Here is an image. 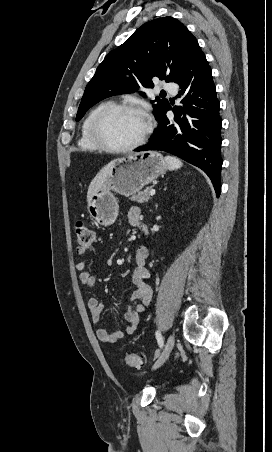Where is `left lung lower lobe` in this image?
Instances as JSON below:
<instances>
[{
  "label": "left lung lower lobe",
  "mask_w": 272,
  "mask_h": 452,
  "mask_svg": "<svg viewBox=\"0 0 272 452\" xmlns=\"http://www.w3.org/2000/svg\"><path fill=\"white\" fill-rule=\"evenodd\" d=\"M183 95L182 106L165 107L157 118L159 125L151 141L135 151L163 150L202 169L211 179L217 197L221 191L220 104L212 72L198 42L173 81ZM172 110L173 118L166 112Z\"/></svg>",
  "instance_id": "obj_1"
}]
</instances>
